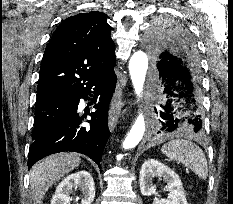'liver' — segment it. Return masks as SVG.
<instances>
[{"label":"liver","instance_id":"6515ba94","mask_svg":"<svg viewBox=\"0 0 233 204\" xmlns=\"http://www.w3.org/2000/svg\"><path fill=\"white\" fill-rule=\"evenodd\" d=\"M81 162L76 153H57L36 163L30 171L31 199L34 204H43L48 189Z\"/></svg>","mask_w":233,"mask_h":204}]
</instances>
